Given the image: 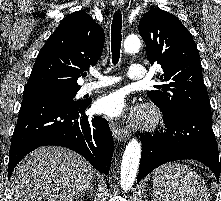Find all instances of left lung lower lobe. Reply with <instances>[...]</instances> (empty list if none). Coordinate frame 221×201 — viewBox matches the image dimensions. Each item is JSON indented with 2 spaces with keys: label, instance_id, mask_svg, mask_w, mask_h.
<instances>
[{
  "label": "left lung lower lobe",
  "instance_id": "1",
  "mask_svg": "<svg viewBox=\"0 0 221 201\" xmlns=\"http://www.w3.org/2000/svg\"><path fill=\"white\" fill-rule=\"evenodd\" d=\"M164 123V132L141 136L142 155L137 183L156 167L182 159L204 163L218 181L221 163L212 130L211 110L192 109L177 116L164 114Z\"/></svg>",
  "mask_w": 221,
  "mask_h": 201
}]
</instances>
